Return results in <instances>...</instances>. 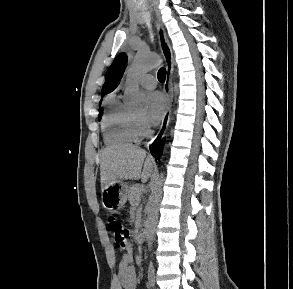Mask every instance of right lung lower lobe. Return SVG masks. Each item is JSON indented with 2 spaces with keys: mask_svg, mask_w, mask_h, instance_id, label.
Here are the masks:
<instances>
[{
  "mask_svg": "<svg viewBox=\"0 0 293 289\" xmlns=\"http://www.w3.org/2000/svg\"><path fill=\"white\" fill-rule=\"evenodd\" d=\"M164 140H156L150 147V151L154 157L160 158L163 150Z\"/></svg>",
  "mask_w": 293,
  "mask_h": 289,
  "instance_id": "98d812e1",
  "label": "right lung lower lobe"
}]
</instances>
